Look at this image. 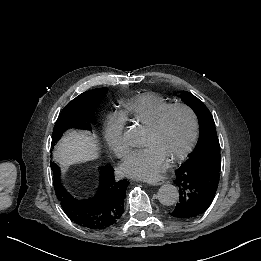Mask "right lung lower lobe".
Here are the masks:
<instances>
[{
    "instance_id": "obj_1",
    "label": "right lung lower lobe",
    "mask_w": 261,
    "mask_h": 261,
    "mask_svg": "<svg viewBox=\"0 0 261 261\" xmlns=\"http://www.w3.org/2000/svg\"><path fill=\"white\" fill-rule=\"evenodd\" d=\"M100 186L95 196L87 200L72 197L54 176V188L61 207L77 225L87 229H105L123 214L124 196L129 182L114 177L110 166L100 167Z\"/></svg>"
}]
</instances>
